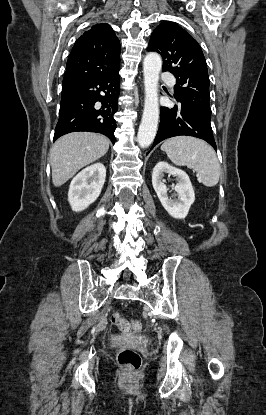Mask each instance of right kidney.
<instances>
[{
	"label": "right kidney",
	"instance_id": "1",
	"mask_svg": "<svg viewBox=\"0 0 266 415\" xmlns=\"http://www.w3.org/2000/svg\"><path fill=\"white\" fill-rule=\"evenodd\" d=\"M106 168L102 163H95L78 173L71 181L68 201L73 211L86 209L96 201L103 188Z\"/></svg>",
	"mask_w": 266,
	"mask_h": 415
}]
</instances>
